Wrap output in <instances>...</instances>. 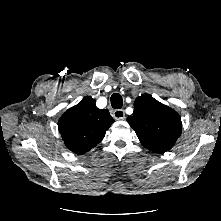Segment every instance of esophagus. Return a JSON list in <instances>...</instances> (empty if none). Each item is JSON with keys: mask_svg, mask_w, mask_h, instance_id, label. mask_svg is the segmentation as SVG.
<instances>
[{"mask_svg": "<svg viewBox=\"0 0 221 221\" xmlns=\"http://www.w3.org/2000/svg\"><path fill=\"white\" fill-rule=\"evenodd\" d=\"M113 117L116 120H122L125 118V111L123 109H116L113 111Z\"/></svg>", "mask_w": 221, "mask_h": 221, "instance_id": "esophagus-1", "label": "esophagus"}]
</instances>
